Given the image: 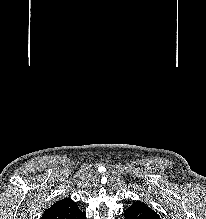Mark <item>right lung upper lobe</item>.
<instances>
[{"instance_id":"cb5924a9","label":"right lung upper lobe","mask_w":206,"mask_h":219,"mask_svg":"<svg viewBox=\"0 0 206 219\" xmlns=\"http://www.w3.org/2000/svg\"><path fill=\"white\" fill-rule=\"evenodd\" d=\"M84 217L85 214L73 200L64 198L46 209L41 219H84Z\"/></svg>"}]
</instances>
